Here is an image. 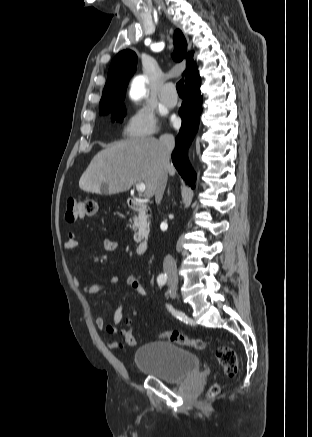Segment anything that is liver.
<instances>
[{"instance_id":"obj_1","label":"liver","mask_w":312,"mask_h":437,"mask_svg":"<svg viewBox=\"0 0 312 437\" xmlns=\"http://www.w3.org/2000/svg\"><path fill=\"white\" fill-rule=\"evenodd\" d=\"M162 173L174 176L175 168L162 158L159 140L130 138L98 152L82 174L79 187L90 193L117 194L129 190L134 182H143L144 196L151 198Z\"/></svg>"}]
</instances>
